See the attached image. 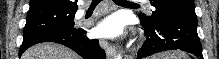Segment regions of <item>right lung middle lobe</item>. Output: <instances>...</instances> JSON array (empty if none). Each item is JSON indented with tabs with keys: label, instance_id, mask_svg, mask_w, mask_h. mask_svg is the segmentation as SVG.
Instances as JSON below:
<instances>
[{
	"label": "right lung middle lobe",
	"instance_id": "dd1d6c3e",
	"mask_svg": "<svg viewBox=\"0 0 219 59\" xmlns=\"http://www.w3.org/2000/svg\"><path fill=\"white\" fill-rule=\"evenodd\" d=\"M75 13L76 11L60 9L29 12L23 36L49 29H75L73 22Z\"/></svg>",
	"mask_w": 219,
	"mask_h": 59
}]
</instances>
